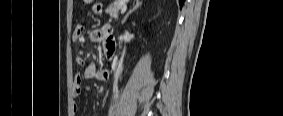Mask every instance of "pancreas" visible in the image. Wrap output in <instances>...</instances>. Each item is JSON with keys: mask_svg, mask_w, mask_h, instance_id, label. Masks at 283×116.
<instances>
[{"mask_svg": "<svg viewBox=\"0 0 283 116\" xmlns=\"http://www.w3.org/2000/svg\"><path fill=\"white\" fill-rule=\"evenodd\" d=\"M124 0H117L114 3H112L107 9L106 13L110 15L111 18H117L118 13L122 7V4L124 3Z\"/></svg>", "mask_w": 283, "mask_h": 116, "instance_id": "obj_1", "label": "pancreas"}]
</instances>
